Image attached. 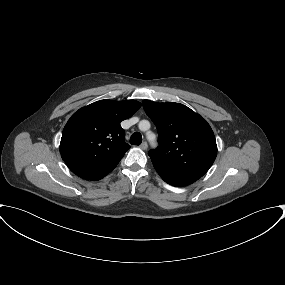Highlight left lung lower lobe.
<instances>
[{
  "label": "left lung lower lobe",
  "instance_id": "obj_1",
  "mask_svg": "<svg viewBox=\"0 0 285 285\" xmlns=\"http://www.w3.org/2000/svg\"><path fill=\"white\" fill-rule=\"evenodd\" d=\"M154 168L161 178L173 186H187L197 181L201 176L192 174L180 169L167 168L155 161H152Z\"/></svg>",
  "mask_w": 285,
  "mask_h": 285
}]
</instances>
